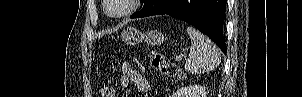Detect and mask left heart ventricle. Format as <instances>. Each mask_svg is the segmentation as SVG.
<instances>
[{
	"label": "left heart ventricle",
	"instance_id": "obj_1",
	"mask_svg": "<svg viewBox=\"0 0 302 97\" xmlns=\"http://www.w3.org/2000/svg\"><path fill=\"white\" fill-rule=\"evenodd\" d=\"M127 7V0H110V11L115 14L123 12Z\"/></svg>",
	"mask_w": 302,
	"mask_h": 97
}]
</instances>
